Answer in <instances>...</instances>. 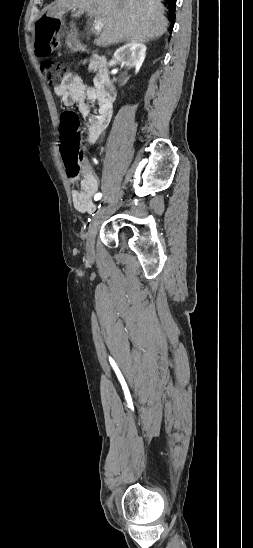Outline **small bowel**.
Wrapping results in <instances>:
<instances>
[{"mask_svg":"<svg viewBox=\"0 0 253 548\" xmlns=\"http://www.w3.org/2000/svg\"><path fill=\"white\" fill-rule=\"evenodd\" d=\"M54 92L65 107L77 104L87 121L86 147L94 145L111 121L112 101L103 97L97 88L86 85L81 77L74 73L66 74L62 83L55 87ZM89 103L94 104V108H91ZM81 164L79 175H69L71 183H80V188L72 191L73 205L81 213L93 212L95 209L93 197L99 190V181L86 156H82Z\"/></svg>","mask_w":253,"mask_h":548,"instance_id":"obj_1","label":"small bowel"}]
</instances>
